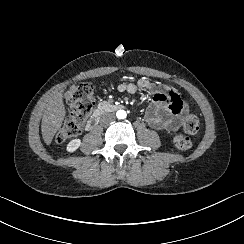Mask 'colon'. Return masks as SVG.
Listing matches in <instances>:
<instances>
[{
  "label": "colon",
  "instance_id": "obj_1",
  "mask_svg": "<svg viewBox=\"0 0 244 244\" xmlns=\"http://www.w3.org/2000/svg\"><path fill=\"white\" fill-rule=\"evenodd\" d=\"M65 101L70 110L56 135L57 143H63L75 137L93 110L95 101L92 84L88 82L76 83L67 91ZM199 126L198 118L193 115L187 116L181 129L172 136L176 148L182 151L191 149L192 138L198 132Z\"/></svg>",
  "mask_w": 244,
  "mask_h": 244
}]
</instances>
